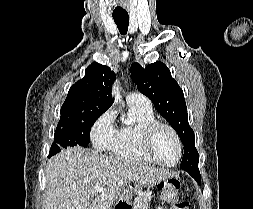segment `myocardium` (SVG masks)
Returning a JSON list of instances; mask_svg holds the SVG:
<instances>
[{"label":"myocardium","instance_id":"f54148a6","mask_svg":"<svg viewBox=\"0 0 253 209\" xmlns=\"http://www.w3.org/2000/svg\"><path fill=\"white\" fill-rule=\"evenodd\" d=\"M159 128L168 129L172 133V135L176 141L178 154H177L176 160L172 163H166V162L161 161L159 158H157L154 155V153L152 151L153 137H154L155 132ZM140 145H141V150H142L144 156L148 160H150L151 162L156 163L158 165L164 166V167H175L179 164V162L182 158L183 148H182V142H181L180 136H179L178 132L176 131V129L172 125H170L166 122L154 120V121L149 122L146 125H144L141 130Z\"/></svg>","mask_w":253,"mask_h":209}]
</instances>
